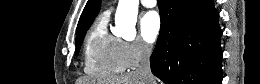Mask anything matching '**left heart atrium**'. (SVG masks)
<instances>
[{
	"mask_svg": "<svg viewBox=\"0 0 260 84\" xmlns=\"http://www.w3.org/2000/svg\"><path fill=\"white\" fill-rule=\"evenodd\" d=\"M161 22L156 11L147 12L141 19L140 31L143 40L147 43H152L156 39Z\"/></svg>",
	"mask_w": 260,
	"mask_h": 84,
	"instance_id": "1",
	"label": "left heart atrium"
}]
</instances>
